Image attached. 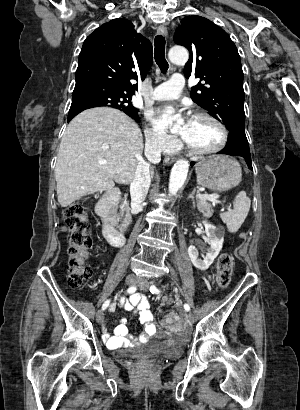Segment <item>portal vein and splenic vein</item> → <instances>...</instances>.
I'll list each match as a JSON object with an SVG mask.
<instances>
[{
    "label": "portal vein and splenic vein",
    "instance_id": "1",
    "mask_svg": "<svg viewBox=\"0 0 300 410\" xmlns=\"http://www.w3.org/2000/svg\"><path fill=\"white\" fill-rule=\"evenodd\" d=\"M98 163L103 165V164H106L107 162L103 159H99ZM197 198L199 200L203 199V200L215 201L216 199L219 198V195L218 194H197Z\"/></svg>",
    "mask_w": 300,
    "mask_h": 410
}]
</instances>
